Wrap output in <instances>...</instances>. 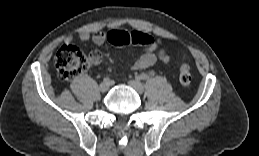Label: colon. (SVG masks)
<instances>
[{"instance_id":"5ec220e1","label":"colon","mask_w":259,"mask_h":156,"mask_svg":"<svg viewBox=\"0 0 259 156\" xmlns=\"http://www.w3.org/2000/svg\"><path fill=\"white\" fill-rule=\"evenodd\" d=\"M108 41L116 46L150 45L153 38L142 31H122L112 30L108 33ZM55 66L58 76L63 81H69L79 76L87 70L89 62L86 55L78 47L66 44L63 45L55 54ZM192 77L190 67L186 61H183L179 71V81L183 87H188Z\"/></svg>"}]
</instances>
